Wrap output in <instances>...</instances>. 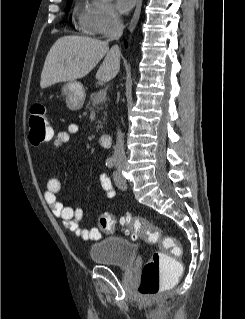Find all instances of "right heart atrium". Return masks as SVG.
<instances>
[{
    "mask_svg": "<svg viewBox=\"0 0 245 319\" xmlns=\"http://www.w3.org/2000/svg\"><path fill=\"white\" fill-rule=\"evenodd\" d=\"M87 17L81 22L83 28L94 35H107L119 24V15L107 0H92Z\"/></svg>",
    "mask_w": 245,
    "mask_h": 319,
    "instance_id": "d8ad5b80",
    "label": "right heart atrium"
}]
</instances>
